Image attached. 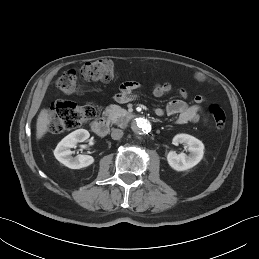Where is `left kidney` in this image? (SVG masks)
I'll list each match as a JSON object with an SVG mask.
<instances>
[{"instance_id":"1","label":"left kidney","mask_w":259,"mask_h":259,"mask_svg":"<svg viewBox=\"0 0 259 259\" xmlns=\"http://www.w3.org/2000/svg\"><path fill=\"white\" fill-rule=\"evenodd\" d=\"M184 143L188 147L189 155L185 153L177 154L170 151L167 161L171 168L176 171H185L197 165L204 155V144L197 138L188 134H178L173 138V144Z\"/></svg>"}]
</instances>
